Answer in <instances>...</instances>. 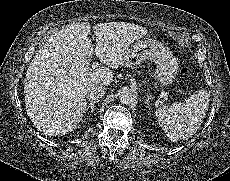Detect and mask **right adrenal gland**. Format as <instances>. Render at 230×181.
Here are the masks:
<instances>
[{"label":"right adrenal gland","instance_id":"2a0ac1e0","mask_svg":"<svg viewBox=\"0 0 230 181\" xmlns=\"http://www.w3.org/2000/svg\"><path fill=\"white\" fill-rule=\"evenodd\" d=\"M98 103V101H91L88 105H87V108H86V111L90 110L91 113L94 112V107H95V104Z\"/></svg>","mask_w":230,"mask_h":181}]
</instances>
